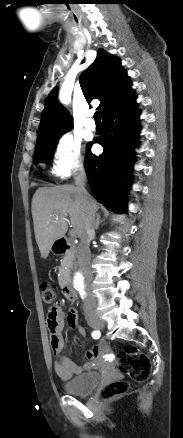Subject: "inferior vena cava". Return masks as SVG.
<instances>
[{
	"label": "inferior vena cava",
	"mask_w": 183,
	"mask_h": 438,
	"mask_svg": "<svg viewBox=\"0 0 183 438\" xmlns=\"http://www.w3.org/2000/svg\"><path fill=\"white\" fill-rule=\"evenodd\" d=\"M85 181H86V172L82 166L77 169V173L75 176V185L76 190L81 194L84 200L88 199V193L85 189ZM95 212L91 209L88 210L87 216L85 219V228L84 232L80 237V244L78 248L77 258L79 262V266L83 271L87 282V295L84 300V308L85 310H89L96 307V299L94 295L91 293L89 289V284L92 279L91 267H90V241L95 236Z\"/></svg>",
	"instance_id": "602c4592"
}]
</instances>
